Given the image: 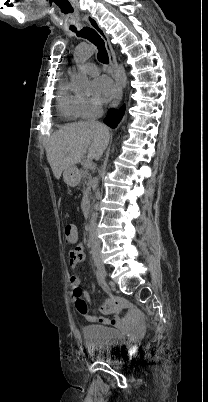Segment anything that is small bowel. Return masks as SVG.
<instances>
[{
    "label": "small bowel",
    "instance_id": "c3829d8e",
    "mask_svg": "<svg viewBox=\"0 0 208 402\" xmlns=\"http://www.w3.org/2000/svg\"><path fill=\"white\" fill-rule=\"evenodd\" d=\"M79 235V234H78ZM71 251V250H70ZM70 264L71 266H75L78 264L83 258H84V253L82 252V246L78 245L73 252L70 253ZM70 286H71V295L73 298L78 295L81 298H85L89 300V296L85 294L82 289L80 288V281L77 276H72L70 278ZM110 298L112 300H115L117 298V295L113 292H110ZM123 300L117 298L114 302L109 301L106 310H113L115 313L119 311L120 308L123 307ZM120 315H123V312H120ZM84 317L88 319V321L95 320L96 323L101 324H107L109 322L110 324H120L122 321V327L125 330H137L139 328V324L143 323L145 321V318L142 316V311L140 309H132L129 312V315H123L122 318L120 319L119 317H113L112 319L108 320V317H103L101 315H98L96 317L90 316L89 313H87Z\"/></svg>",
    "mask_w": 208,
    "mask_h": 402
}]
</instances>
